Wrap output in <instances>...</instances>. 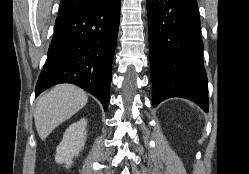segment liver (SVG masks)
Listing matches in <instances>:
<instances>
[{
  "instance_id": "liver-1",
  "label": "liver",
  "mask_w": 249,
  "mask_h": 174,
  "mask_svg": "<svg viewBox=\"0 0 249 174\" xmlns=\"http://www.w3.org/2000/svg\"><path fill=\"white\" fill-rule=\"evenodd\" d=\"M87 94L71 84H60L44 94L37 102L34 121L41 140L61 123L81 110L87 103Z\"/></svg>"
}]
</instances>
